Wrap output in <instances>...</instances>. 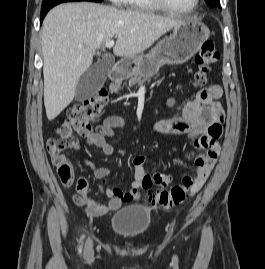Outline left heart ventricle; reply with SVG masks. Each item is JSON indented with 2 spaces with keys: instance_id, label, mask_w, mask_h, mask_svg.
Listing matches in <instances>:
<instances>
[{
  "instance_id": "obj_1",
  "label": "left heart ventricle",
  "mask_w": 265,
  "mask_h": 269,
  "mask_svg": "<svg viewBox=\"0 0 265 269\" xmlns=\"http://www.w3.org/2000/svg\"><path fill=\"white\" fill-rule=\"evenodd\" d=\"M168 5L177 9H190L195 0H164Z\"/></svg>"
}]
</instances>
